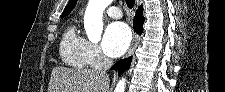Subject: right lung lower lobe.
<instances>
[{"label":"right lung lower lobe","mask_w":225,"mask_h":92,"mask_svg":"<svg viewBox=\"0 0 225 92\" xmlns=\"http://www.w3.org/2000/svg\"><path fill=\"white\" fill-rule=\"evenodd\" d=\"M144 20L145 18L142 16V8L139 7L138 10L136 11V15L134 17V22H133L134 29L139 34H141L143 31L142 26H143ZM130 64H131V57L118 61L116 64L112 66L111 69L118 70V74L119 76H121L125 70L129 69Z\"/></svg>","instance_id":"98d812e1"}]
</instances>
